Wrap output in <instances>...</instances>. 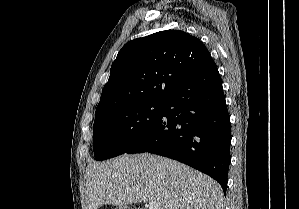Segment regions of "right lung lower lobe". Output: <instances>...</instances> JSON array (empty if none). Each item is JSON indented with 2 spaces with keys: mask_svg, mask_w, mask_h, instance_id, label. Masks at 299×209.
I'll return each mask as SVG.
<instances>
[{
  "mask_svg": "<svg viewBox=\"0 0 299 209\" xmlns=\"http://www.w3.org/2000/svg\"><path fill=\"white\" fill-rule=\"evenodd\" d=\"M231 125L218 69L195 73L164 102L159 119L126 153L150 152L216 179L226 193Z\"/></svg>",
  "mask_w": 299,
  "mask_h": 209,
  "instance_id": "obj_1",
  "label": "right lung lower lobe"
}]
</instances>
